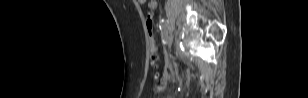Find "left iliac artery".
Segmentation results:
<instances>
[{
  "label": "left iliac artery",
  "instance_id": "left-iliac-artery-1",
  "mask_svg": "<svg viewBox=\"0 0 308 98\" xmlns=\"http://www.w3.org/2000/svg\"><path fill=\"white\" fill-rule=\"evenodd\" d=\"M159 27L161 30H166L168 28V21L166 19H161Z\"/></svg>",
  "mask_w": 308,
  "mask_h": 98
}]
</instances>
